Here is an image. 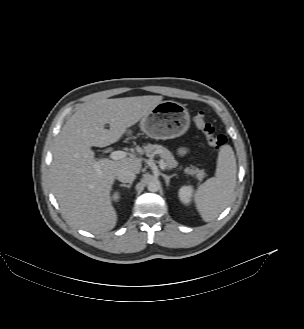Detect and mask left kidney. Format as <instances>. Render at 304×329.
Segmentation results:
<instances>
[{
  "label": "left kidney",
  "mask_w": 304,
  "mask_h": 329,
  "mask_svg": "<svg viewBox=\"0 0 304 329\" xmlns=\"http://www.w3.org/2000/svg\"><path fill=\"white\" fill-rule=\"evenodd\" d=\"M193 192L192 186H183L179 189V198L182 203L188 204L190 202V198Z\"/></svg>",
  "instance_id": "5707ae66"
}]
</instances>
